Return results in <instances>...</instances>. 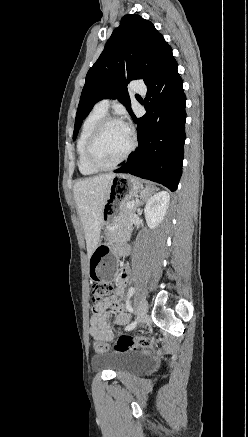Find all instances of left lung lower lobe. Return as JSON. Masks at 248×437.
Here are the masks:
<instances>
[{
    "label": "left lung lower lobe",
    "instance_id": "obj_1",
    "mask_svg": "<svg viewBox=\"0 0 248 437\" xmlns=\"http://www.w3.org/2000/svg\"><path fill=\"white\" fill-rule=\"evenodd\" d=\"M182 79L175 59L147 85L145 109L137 118L138 149L128 156L117 173L149 179L177 189L181 174L185 142V103Z\"/></svg>",
    "mask_w": 248,
    "mask_h": 437
}]
</instances>
